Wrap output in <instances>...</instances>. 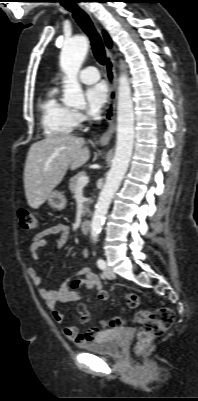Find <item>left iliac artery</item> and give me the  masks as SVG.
<instances>
[{"label":"left iliac artery","mask_w":198,"mask_h":401,"mask_svg":"<svg viewBox=\"0 0 198 401\" xmlns=\"http://www.w3.org/2000/svg\"><path fill=\"white\" fill-rule=\"evenodd\" d=\"M97 265H98V267H99L100 269H105V268H106V263H105V261L102 260V259H98V260H97Z\"/></svg>","instance_id":"44dca946"}]
</instances>
